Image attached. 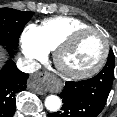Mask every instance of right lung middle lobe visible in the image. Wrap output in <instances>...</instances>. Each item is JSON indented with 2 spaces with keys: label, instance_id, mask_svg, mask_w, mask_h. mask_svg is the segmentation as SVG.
<instances>
[{
  "label": "right lung middle lobe",
  "instance_id": "1",
  "mask_svg": "<svg viewBox=\"0 0 117 117\" xmlns=\"http://www.w3.org/2000/svg\"><path fill=\"white\" fill-rule=\"evenodd\" d=\"M33 12H24L11 8L0 9V45L13 50L18 46L19 36Z\"/></svg>",
  "mask_w": 117,
  "mask_h": 117
}]
</instances>
